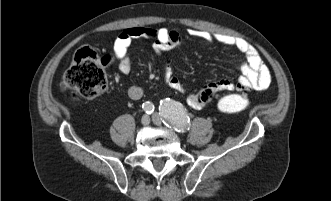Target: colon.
I'll return each instance as SVG.
<instances>
[{
  "label": "colon",
  "instance_id": "colon-1",
  "mask_svg": "<svg viewBox=\"0 0 331 201\" xmlns=\"http://www.w3.org/2000/svg\"><path fill=\"white\" fill-rule=\"evenodd\" d=\"M111 60L110 56H101L90 47L80 48L62 77L61 88L69 91L74 99L94 98L103 94L107 88L104 68ZM246 92V89H242L238 93L220 98L218 109L225 113L247 109L251 101Z\"/></svg>",
  "mask_w": 331,
  "mask_h": 201
}]
</instances>
